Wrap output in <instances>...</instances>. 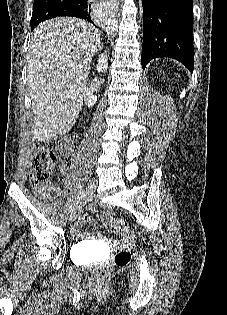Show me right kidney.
<instances>
[{
    "instance_id": "right-kidney-1",
    "label": "right kidney",
    "mask_w": 227,
    "mask_h": 315,
    "mask_svg": "<svg viewBox=\"0 0 227 315\" xmlns=\"http://www.w3.org/2000/svg\"><path fill=\"white\" fill-rule=\"evenodd\" d=\"M97 71L100 72H106L108 68V59L106 54H101L97 61ZM96 96L93 94V92L87 88L85 94H84V102L88 107H92L96 103Z\"/></svg>"
}]
</instances>
